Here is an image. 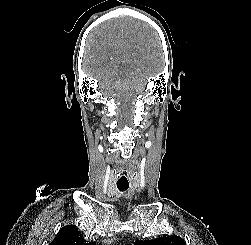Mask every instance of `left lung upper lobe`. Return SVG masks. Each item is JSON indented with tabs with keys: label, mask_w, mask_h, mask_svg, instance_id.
<instances>
[{
	"label": "left lung upper lobe",
	"mask_w": 251,
	"mask_h": 245,
	"mask_svg": "<svg viewBox=\"0 0 251 245\" xmlns=\"http://www.w3.org/2000/svg\"><path fill=\"white\" fill-rule=\"evenodd\" d=\"M134 245H186L185 241L176 235L163 236L153 240L135 241Z\"/></svg>",
	"instance_id": "5c2ea615"
}]
</instances>
